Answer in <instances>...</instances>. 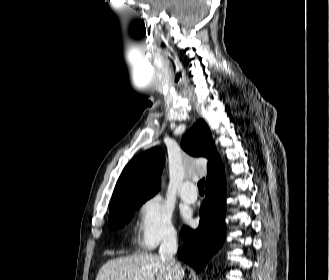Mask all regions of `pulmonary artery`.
I'll return each mask as SVG.
<instances>
[{
  "mask_svg": "<svg viewBox=\"0 0 329 280\" xmlns=\"http://www.w3.org/2000/svg\"><path fill=\"white\" fill-rule=\"evenodd\" d=\"M180 197L188 203H194L198 198L196 185L193 181H186L180 189Z\"/></svg>",
  "mask_w": 329,
  "mask_h": 280,
  "instance_id": "obj_1",
  "label": "pulmonary artery"
}]
</instances>
